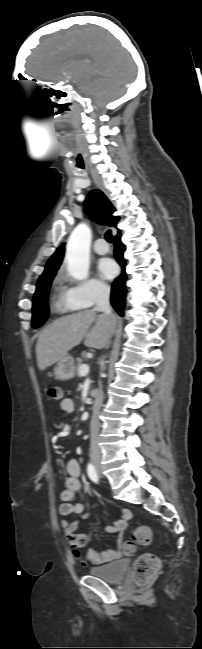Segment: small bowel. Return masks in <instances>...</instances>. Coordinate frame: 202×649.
Segmentation results:
<instances>
[{"label":"small bowel","mask_w":202,"mask_h":649,"mask_svg":"<svg viewBox=\"0 0 202 649\" xmlns=\"http://www.w3.org/2000/svg\"><path fill=\"white\" fill-rule=\"evenodd\" d=\"M60 408L65 414L74 412V401L71 398H64L60 402ZM55 436H62L60 433L55 432ZM65 470L67 478L65 479L64 487L61 489L59 497L61 505L59 507L60 515L62 516L61 526L64 531V536L72 548V553L77 562L82 567H88L90 564L99 565L118 559L124 555L122 547L124 544L123 531L127 527V523L131 518V511L123 509L119 518L111 525L106 527L107 533L117 534V547L103 553L95 550H90L86 554L80 552V548L86 546L88 537L85 534L78 533L77 530L81 522L88 519L90 511H86L81 503L73 502L76 493L81 489V465L75 458L66 462ZM71 514L79 515L80 517L74 521H68L66 517Z\"/></svg>","instance_id":"small-bowel-1"}]
</instances>
